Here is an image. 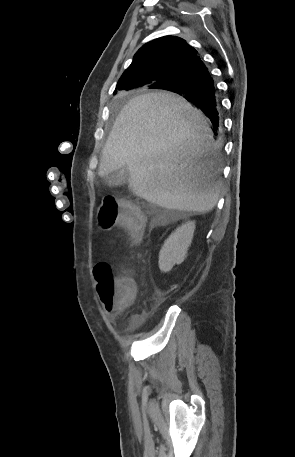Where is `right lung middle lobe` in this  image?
Returning <instances> with one entry per match:
<instances>
[{
  "label": "right lung middle lobe",
  "instance_id": "obj_1",
  "mask_svg": "<svg viewBox=\"0 0 295 457\" xmlns=\"http://www.w3.org/2000/svg\"><path fill=\"white\" fill-rule=\"evenodd\" d=\"M139 86H141V85H136L135 87H139ZM150 88H153V87H150Z\"/></svg>",
  "mask_w": 295,
  "mask_h": 457
}]
</instances>
